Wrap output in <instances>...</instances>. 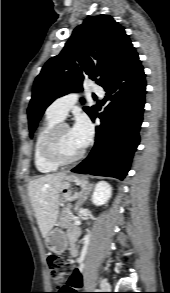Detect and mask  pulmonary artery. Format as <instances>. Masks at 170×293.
I'll return each instance as SVG.
<instances>
[{
    "mask_svg": "<svg viewBox=\"0 0 170 293\" xmlns=\"http://www.w3.org/2000/svg\"><path fill=\"white\" fill-rule=\"evenodd\" d=\"M94 93L102 96L104 91L100 88L96 89ZM77 101V95L75 93H68L54 100L47 108L46 113L63 120Z\"/></svg>",
    "mask_w": 170,
    "mask_h": 293,
    "instance_id": "e3ab8cb5",
    "label": "pulmonary artery"
}]
</instances>
